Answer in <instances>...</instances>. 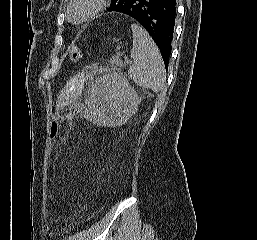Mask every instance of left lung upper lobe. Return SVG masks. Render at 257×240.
<instances>
[{"instance_id":"1","label":"left lung upper lobe","mask_w":257,"mask_h":240,"mask_svg":"<svg viewBox=\"0 0 257 240\" xmlns=\"http://www.w3.org/2000/svg\"><path fill=\"white\" fill-rule=\"evenodd\" d=\"M123 1L124 0H111V4H110V6H109V8L107 10L115 8L116 6H118Z\"/></svg>"}]
</instances>
